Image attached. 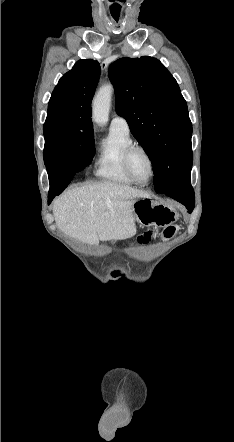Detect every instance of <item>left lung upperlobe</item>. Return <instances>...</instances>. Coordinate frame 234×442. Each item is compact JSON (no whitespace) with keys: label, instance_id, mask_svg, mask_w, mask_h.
Instances as JSON below:
<instances>
[{"label":"left lung upper lobe","instance_id":"5c2ea615","mask_svg":"<svg viewBox=\"0 0 234 442\" xmlns=\"http://www.w3.org/2000/svg\"><path fill=\"white\" fill-rule=\"evenodd\" d=\"M116 111L152 162L154 188L163 193L192 167V124L175 78L152 57L121 58L109 67Z\"/></svg>","mask_w":234,"mask_h":442}]
</instances>
